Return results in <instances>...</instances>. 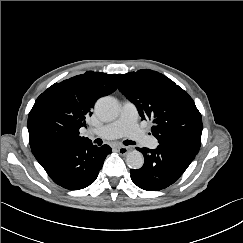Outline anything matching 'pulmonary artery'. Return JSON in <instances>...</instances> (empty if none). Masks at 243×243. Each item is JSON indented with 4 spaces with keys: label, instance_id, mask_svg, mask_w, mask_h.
<instances>
[{
    "label": "pulmonary artery",
    "instance_id": "pulmonary-artery-1",
    "mask_svg": "<svg viewBox=\"0 0 243 243\" xmlns=\"http://www.w3.org/2000/svg\"><path fill=\"white\" fill-rule=\"evenodd\" d=\"M137 118V108L133 103L126 101L122 106L121 114L117 120L100 128L91 130V134L104 139L127 136L151 149H155L158 146V140L155 137L147 136L140 129L137 123Z\"/></svg>",
    "mask_w": 243,
    "mask_h": 243
}]
</instances>
